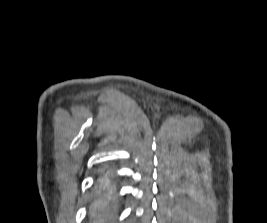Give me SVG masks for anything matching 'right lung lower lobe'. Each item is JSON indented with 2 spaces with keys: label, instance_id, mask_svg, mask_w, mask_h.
Returning a JSON list of instances; mask_svg holds the SVG:
<instances>
[{
  "label": "right lung lower lobe",
  "instance_id": "obj_1",
  "mask_svg": "<svg viewBox=\"0 0 267 223\" xmlns=\"http://www.w3.org/2000/svg\"><path fill=\"white\" fill-rule=\"evenodd\" d=\"M114 179V176L112 174H104L101 177V183L106 184L108 181H112Z\"/></svg>",
  "mask_w": 267,
  "mask_h": 223
}]
</instances>
